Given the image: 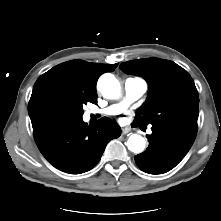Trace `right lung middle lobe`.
<instances>
[{
	"instance_id": "dd1d6c3e",
	"label": "right lung middle lobe",
	"mask_w": 221,
	"mask_h": 221,
	"mask_svg": "<svg viewBox=\"0 0 221 221\" xmlns=\"http://www.w3.org/2000/svg\"><path fill=\"white\" fill-rule=\"evenodd\" d=\"M87 102L96 103L97 99L78 97L68 102L61 110L60 118H82L84 112L83 105Z\"/></svg>"
}]
</instances>
